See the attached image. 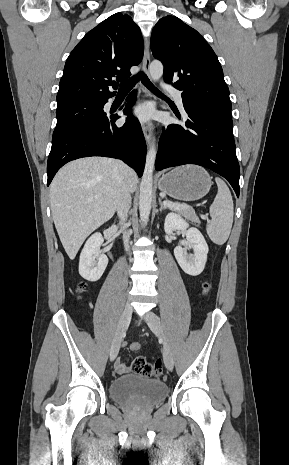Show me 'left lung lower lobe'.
Masks as SVG:
<instances>
[{
  "label": "left lung lower lobe",
  "mask_w": 289,
  "mask_h": 465,
  "mask_svg": "<svg viewBox=\"0 0 289 465\" xmlns=\"http://www.w3.org/2000/svg\"><path fill=\"white\" fill-rule=\"evenodd\" d=\"M182 98L188 114L186 127L171 124L163 128L156 170L184 164L200 165L226 178L239 197L240 169L230 110L208 106L183 94Z\"/></svg>",
  "instance_id": "0a47b994"
}]
</instances>
